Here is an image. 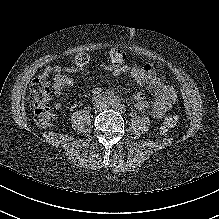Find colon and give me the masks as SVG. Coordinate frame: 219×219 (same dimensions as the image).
<instances>
[{
	"instance_id": "5ec220e1",
	"label": "colon",
	"mask_w": 219,
	"mask_h": 219,
	"mask_svg": "<svg viewBox=\"0 0 219 219\" xmlns=\"http://www.w3.org/2000/svg\"><path fill=\"white\" fill-rule=\"evenodd\" d=\"M89 60L87 54H79L75 61L80 64H86ZM54 75L49 71L43 72L37 77L30 86L31 103L34 110V119L39 127H48L53 123L55 114L50 107V81ZM176 118L167 117L160 126L161 133H167L174 128Z\"/></svg>"
}]
</instances>
